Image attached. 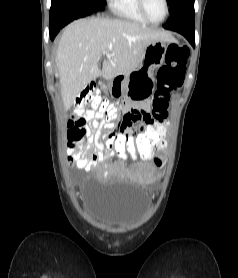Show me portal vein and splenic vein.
Masks as SVG:
<instances>
[{
  "label": "portal vein and splenic vein",
  "instance_id": "18ae733b",
  "mask_svg": "<svg viewBox=\"0 0 238 278\" xmlns=\"http://www.w3.org/2000/svg\"><path fill=\"white\" fill-rule=\"evenodd\" d=\"M104 54H106L107 56H108V51L106 50V51H104Z\"/></svg>",
  "mask_w": 238,
  "mask_h": 278
}]
</instances>
